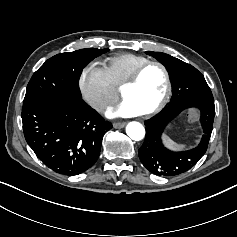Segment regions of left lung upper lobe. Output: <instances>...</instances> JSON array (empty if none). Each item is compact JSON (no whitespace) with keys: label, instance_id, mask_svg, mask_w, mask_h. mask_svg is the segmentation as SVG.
Returning a JSON list of instances; mask_svg holds the SVG:
<instances>
[{"label":"left lung upper lobe","instance_id":"left-lung-upper-lobe-1","mask_svg":"<svg viewBox=\"0 0 237 237\" xmlns=\"http://www.w3.org/2000/svg\"><path fill=\"white\" fill-rule=\"evenodd\" d=\"M146 53L158 59L170 74L173 97L164 111L178 105L214 102L204 76L192 65L165 53L151 51ZM163 112L156 118L145 121L146 137L138 154L142 164L151 173L174 176L188 171L194 166L195 160H200L207 150L212 132H208L202 124L204 134L197 147L181 152L170 151L161 141L162 132L171 121V118L166 117Z\"/></svg>","mask_w":237,"mask_h":237}]
</instances>
